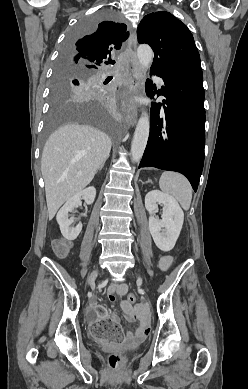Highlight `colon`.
Returning <instances> with one entry per match:
<instances>
[{
	"label": "colon",
	"instance_id": "1",
	"mask_svg": "<svg viewBox=\"0 0 248 389\" xmlns=\"http://www.w3.org/2000/svg\"><path fill=\"white\" fill-rule=\"evenodd\" d=\"M53 248L58 256H65L68 253L69 246L66 242L61 240H54ZM136 298L134 294H128L127 302L131 305L135 303ZM96 318H100L99 322H91L90 328L97 340L101 344H121L120 322H111L107 318L106 305H96ZM123 357L120 353H112L109 356V366L112 370H117L122 366Z\"/></svg>",
	"mask_w": 248,
	"mask_h": 389
}]
</instances>
